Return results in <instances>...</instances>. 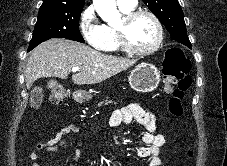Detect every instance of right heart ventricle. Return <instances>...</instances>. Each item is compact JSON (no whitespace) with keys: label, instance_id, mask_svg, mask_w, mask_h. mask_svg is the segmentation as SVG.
I'll return each instance as SVG.
<instances>
[{"label":"right heart ventricle","instance_id":"obj_1","mask_svg":"<svg viewBox=\"0 0 227 166\" xmlns=\"http://www.w3.org/2000/svg\"><path fill=\"white\" fill-rule=\"evenodd\" d=\"M119 9L122 13H128V12L132 11V9H125L120 6H119ZM104 31H105L106 39H105V43H104V46L102 49L104 51H109V52L120 49L118 42H117V38H116L115 27L111 26L109 24H105Z\"/></svg>","mask_w":227,"mask_h":166}]
</instances>
